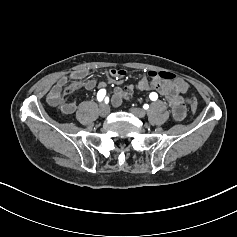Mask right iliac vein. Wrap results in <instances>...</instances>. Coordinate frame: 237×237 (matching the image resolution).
Returning <instances> with one entry per match:
<instances>
[{
    "label": "right iliac vein",
    "mask_w": 237,
    "mask_h": 237,
    "mask_svg": "<svg viewBox=\"0 0 237 237\" xmlns=\"http://www.w3.org/2000/svg\"><path fill=\"white\" fill-rule=\"evenodd\" d=\"M100 116L101 117H106L109 114V108L106 104H102L100 106Z\"/></svg>",
    "instance_id": "obj_1"
}]
</instances>
